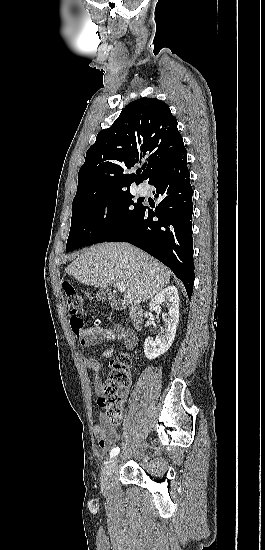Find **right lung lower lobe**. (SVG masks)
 <instances>
[{
  "instance_id": "98d812e1",
  "label": "right lung lower lobe",
  "mask_w": 265,
  "mask_h": 550,
  "mask_svg": "<svg viewBox=\"0 0 265 550\" xmlns=\"http://www.w3.org/2000/svg\"><path fill=\"white\" fill-rule=\"evenodd\" d=\"M156 188L157 207L140 213L106 241L131 243L168 266L191 297L194 283L192 195L184 148L149 182Z\"/></svg>"
}]
</instances>
